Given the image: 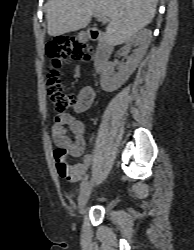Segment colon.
Returning a JSON list of instances; mask_svg holds the SVG:
<instances>
[{
  "label": "colon",
  "instance_id": "colon-1",
  "mask_svg": "<svg viewBox=\"0 0 194 250\" xmlns=\"http://www.w3.org/2000/svg\"><path fill=\"white\" fill-rule=\"evenodd\" d=\"M46 53L49 58V73L47 80L48 95L54 104L55 110L59 113L76 108L77 98L74 94L66 91L58 79V74L63 62L89 61L90 55L85 44L79 36L72 35L61 37L55 42L46 46ZM56 164L66 171V151L64 149L54 150Z\"/></svg>",
  "mask_w": 194,
  "mask_h": 250
}]
</instances>
